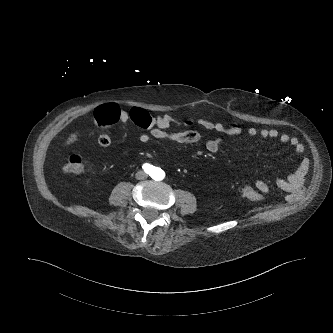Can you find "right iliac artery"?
<instances>
[{"label":"right iliac artery","mask_w":333,"mask_h":333,"mask_svg":"<svg viewBox=\"0 0 333 333\" xmlns=\"http://www.w3.org/2000/svg\"><path fill=\"white\" fill-rule=\"evenodd\" d=\"M142 168L149 175L153 174L155 172V169H156V167H154L153 165H151L149 163L143 164Z\"/></svg>","instance_id":"1"}]
</instances>
